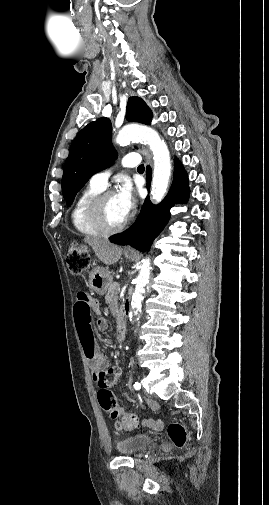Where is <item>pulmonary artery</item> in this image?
Wrapping results in <instances>:
<instances>
[{"label": "pulmonary artery", "instance_id": "e3ab8cb5", "mask_svg": "<svg viewBox=\"0 0 269 505\" xmlns=\"http://www.w3.org/2000/svg\"><path fill=\"white\" fill-rule=\"evenodd\" d=\"M139 162L140 157L138 154L135 153L125 155L121 160V164L124 167H135L139 164ZM111 173H112L111 168L97 172L91 177L90 183L99 188L104 189L107 185Z\"/></svg>", "mask_w": 269, "mask_h": 505}]
</instances>
